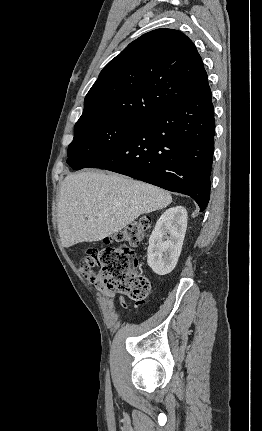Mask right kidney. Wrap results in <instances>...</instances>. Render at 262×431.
<instances>
[{
	"label": "right kidney",
	"mask_w": 262,
	"mask_h": 431,
	"mask_svg": "<svg viewBox=\"0 0 262 431\" xmlns=\"http://www.w3.org/2000/svg\"><path fill=\"white\" fill-rule=\"evenodd\" d=\"M186 228L187 211L182 206L169 208L156 222L147 251V263L156 274L166 275L175 268Z\"/></svg>",
	"instance_id": "right-kidney-1"
}]
</instances>
